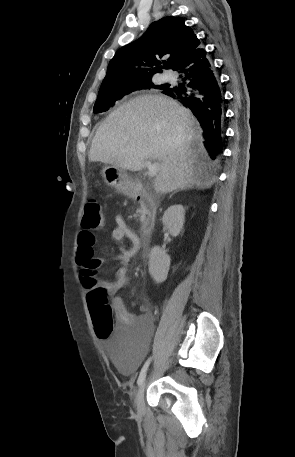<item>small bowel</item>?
Listing matches in <instances>:
<instances>
[{
	"label": "small bowel",
	"instance_id": "small-bowel-1",
	"mask_svg": "<svg viewBox=\"0 0 295 457\" xmlns=\"http://www.w3.org/2000/svg\"><path fill=\"white\" fill-rule=\"evenodd\" d=\"M115 226L111 230V237L119 244L120 254L115 257L120 263L116 271L115 279L113 281L97 282L93 279V284L87 285L86 288L93 286H100L104 290L114 294L113 308L115 316L118 321L115 338H126L134 332H141L148 334L153 329V313L148 304L143 305L142 314H134L130 312L124 305L117 292L128 285L129 276L127 265L131 258H133L143 247L140 237L126 224L124 219L117 215L115 218ZM96 242L95 234L88 229H82L79 232L77 239V261L79 258H86L88 262L94 265L95 270L100 268L106 261L103 258L94 256L93 247ZM83 280V279H82ZM137 367V366H136Z\"/></svg>",
	"mask_w": 295,
	"mask_h": 457
}]
</instances>
